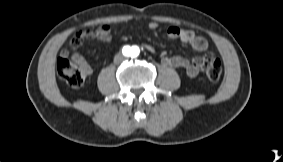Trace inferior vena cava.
<instances>
[{
  "mask_svg": "<svg viewBox=\"0 0 283 162\" xmlns=\"http://www.w3.org/2000/svg\"><path fill=\"white\" fill-rule=\"evenodd\" d=\"M126 59V57L124 56V55H122V54H117V55H115V57H114V63L115 64H120L121 62H123L124 60Z\"/></svg>",
  "mask_w": 283,
  "mask_h": 162,
  "instance_id": "602c4592",
  "label": "inferior vena cava"
}]
</instances>
